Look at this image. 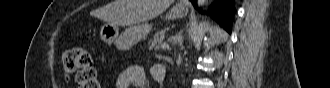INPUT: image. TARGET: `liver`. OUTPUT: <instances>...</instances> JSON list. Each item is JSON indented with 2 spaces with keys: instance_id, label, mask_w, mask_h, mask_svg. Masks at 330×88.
<instances>
[{
  "instance_id": "obj_1",
  "label": "liver",
  "mask_w": 330,
  "mask_h": 88,
  "mask_svg": "<svg viewBox=\"0 0 330 88\" xmlns=\"http://www.w3.org/2000/svg\"><path fill=\"white\" fill-rule=\"evenodd\" d=\"M173 0H114L100 12L102 20L130 26L153 19L163 13Z\"/></svg>"
}]
</instances>
